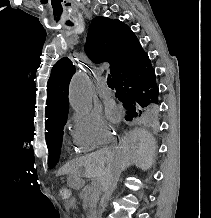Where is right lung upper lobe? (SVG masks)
<instances>
[{
  "label": "right lung upper lobe",
  "mask_w": 211,
  "mask_h": 218,
  "mask_svg": "<svg viewBox=\"0 0 211 218\" xmlns=\"http://www.w3.org/2000/svg\"><path fill=\"white\" fill-rule=\"evenodd\" d=\"M85 52L95 63H110L113 77L121 66L136 59L143 48L132 30L123 22L95 17L88 31ZM74 73L75 67L66 57L52 68L47 83L46 135L68 113V87Z\"/></svg>",
  "instance_id": "1"
}]
</instances>
